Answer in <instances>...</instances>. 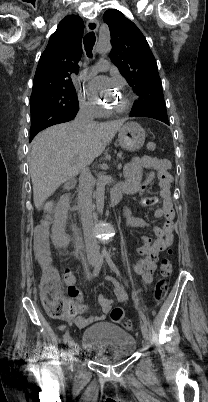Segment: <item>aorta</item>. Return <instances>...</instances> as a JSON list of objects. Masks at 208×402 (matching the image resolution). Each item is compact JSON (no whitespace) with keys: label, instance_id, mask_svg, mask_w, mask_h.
I'll return each mask as SVG.
<instances>
[{"label":"aorta","instance_id":"762f6f07","mask_svg":"<svg viewBox=\"0 0 208 402\" xmlns=\"http://www.w3.org/2000/svg\"><path fill=\"white\" fill-rule=\"evenodd\" d=\"M106 178V175L104 173H101L99 175V180L97 181V186H96V206L98 212L102 214L103 208H104V196L107 192V186H106V181L104 180ZM99 221H103V218H99ZM101 256L103 258H108L110 256V249L109 247L105 246V244H102V249H101Z\"/></svg>","mask_w":208,"mask_h":402}]
</instances>
